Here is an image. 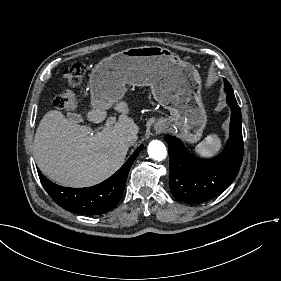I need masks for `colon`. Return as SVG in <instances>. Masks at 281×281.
Segmentation results:
<instances>
[{
    "mask_svg": "<svg viewBox=\"0 0 281 281\" xmlns=\"http://www.w3.org/2000/svg\"><path fill=\"white\" fill-rule=\"evenodd\" d=\"M85 74L84 63L77 61L67 66L63 73V79L69 84H77ZM78 101L75 94L71 91H64L55 99L57 109L61 111H74Z\"/></svg>",
    "mask_w": 281,
    "mask_h": 281,
    "instance_id": "5ec220e1",
    "label": "colon"
}]
</instances>
